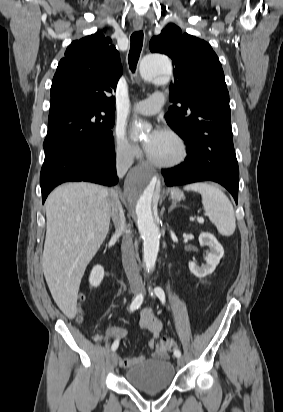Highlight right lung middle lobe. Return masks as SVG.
Returning <instances> with one entry per match:
<instances>
[{
    "label": "right lung middle lobe",
    "mask_w": 283,
    "mask_h": 412,
    "mask_svg": "<svg viewBox=\"0 0 283 412\" xmlns=\"http://www.w3.org/2000/svg\"><path fill=\"white\" fill-rule=\"evenodd\" d=\"M114 121V114L95 107H70L62 114L49 115L45 154L67 146L113 148Z\"/></svg>",
    "instance_id": "dd1d6c3e"
}]
</instances>
